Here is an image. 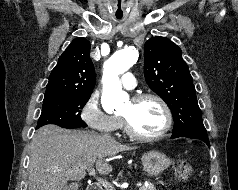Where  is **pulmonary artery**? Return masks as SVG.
I'll return each instance as SVG.
<instances>
[{
    "label": "pulmonary artery",
    "mask_w": 238,
    "mask_h": 190,
    "mask_svg": "<svg viewBox=\"0 0 238 190\" xmlns=\"http://www.w3.org/2000/svg\"><path fill=\"white\" fill-rule=\"evenodd\" d=\"M122 85L125 89L132 90L136 87L135 76L131 72H126L121 78Z\"/></svg>",
    "instance_id": "obj_1"
}]
</instances>
